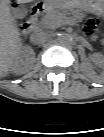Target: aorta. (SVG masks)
Returning a JSON list of instances; mask_svg holds the SVG:
<instances>
[{
  "instance_id": "aorta-1",
  "label": "aorta",
  "mask_w": 104,
  "mask_h": 137,
  "mask_svg": "<svg viewBox=\"0 0 104 137\" xmlns=\"http://www.w3.org/2000/svg\"><path fill=\"white\" fill-rule=\"evenodd\" d=\"M58 42L61 45H70L73 42V39L68 35V34H62L61 36L58 37Z\"/></svg>"
}]
</instances>
